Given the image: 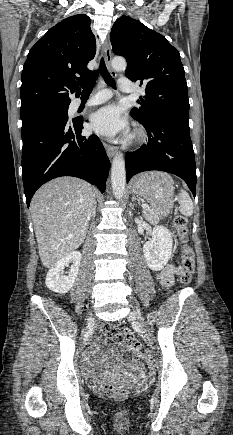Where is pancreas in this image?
I'll return each instance as SVG.
<instances>
[{
	"label": "pancreas",
	"mask_w": 233,
	"mask_h": 435,
	"mask_svg": "<svg viewBox=\"0 0 233 435\" xmlns=\"http://www.w3.org/2000/svg\"><path fill=\"white\" fill-rule=\"evenodd\" d=\"M143 215L148 221H150L152 223H156L159 221V215L156 212V210L153 208L143 209Z\"/></svg>",
	"instance_id": "cf45deb5"
}]
</instances>
